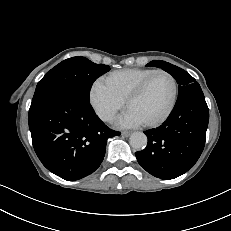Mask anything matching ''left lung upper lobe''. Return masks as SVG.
<instances>
[{
	"label": "left lung upper lobe",
	"instance_id": "1",
	"mask_svg": "<svg viewBox=\"0 0 231 231\" xmlns=\"http://www.w3.org/2000/svg\"><path fill=\"white\" fill-rule=\"evenodd\" d=\"M147 66H156L171 74L179 84V94L184 91V86H187L192 83H197L195 79L191 75H189L185 70L168 62L157 60L148 63Z\"/></svg>",
	"mask_w": 231,
	"mask_h": 231
}]
</instances>
